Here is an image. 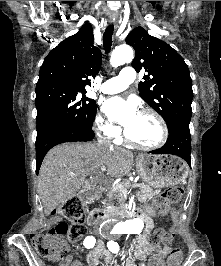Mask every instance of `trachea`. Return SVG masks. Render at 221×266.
<instances>
[{"mask_svg": "<svg viewBox=\"0 0 221 266\" xmlns=\"http://www.w3.org/2000/svg\"><path fill=\"white\" fill-rule=\"evenodd\" d=\"M113 31H114V26L109 25L106 28L104 35H103V47H104L106 54H108L111 50Z\"/></svg>", "mask_w": 221, "mask_h": 266, "instance_id": "trachea-1", "label": "trachea"}]
</instances>
